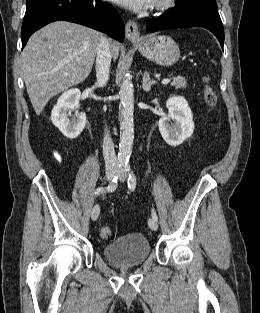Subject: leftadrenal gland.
<instances>
[{"instance_id":"a2214340","label":"left adrenal gland","mask_w":260,"mask_h":313,"mask_svg":"<svg viewBox=\"0 0 260 313\" xmlns=\"http://www.w3.org/2000/svg\"><path fill=\"white\" fill-rule=\"evenodd\" d=\"M157 81L151 80L149 76V72H145L143 75V82H142V88L144 91L148 92L151 89L152 85H155Z\"/></svg>"}]
</instances>
